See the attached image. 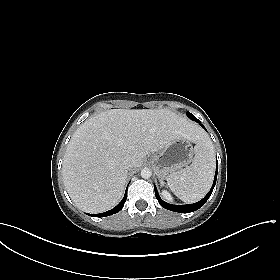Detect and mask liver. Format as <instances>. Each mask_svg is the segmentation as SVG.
<instances>
[{
  "mask_svg": "<svg viewBox=\"0 0 280 280\" xmlns=\"http://www.w3.org/2000/svg\"><path fill=\"white\" fill-rule=\"evenodd\" d=\"M176 138L205 139L193 122L168 109H111L82 123L71 137L63 158L64 185L83 211L101 213L113 208L123 195L133 156L139 168L147 154Z\"/></svg>",
  "mask_w": 280,
  "mask_h": 280,
  "instance_id": "liver-1",
  "label": "liver"
}]
</instances>
